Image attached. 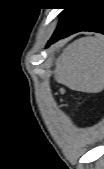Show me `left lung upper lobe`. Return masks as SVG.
<instances>
[{
    "label": "left lung upper lobe",
    "instance_id": "obj_1",
    "mask_svg": "<svg viewBox=\"0 0 104 169\" xmlns=\"http://www.w3.org/2000/svg\"><path fill=\"white\" fill-rule=\"evenodd\" d=\"M73 7H71V8H65V9H72ZM67 14L68 13H63V16H62V18H61V21H60V23L63 21V19L67 16ZM59 23V24H60Z\"/></svg>",
    "mask_w": 104,
    "mask_h": 169
}]
</instances>
